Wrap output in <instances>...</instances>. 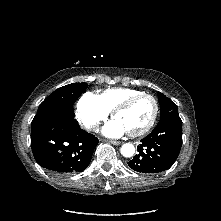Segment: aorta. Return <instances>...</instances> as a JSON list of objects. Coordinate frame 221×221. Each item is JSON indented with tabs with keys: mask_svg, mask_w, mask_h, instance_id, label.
Listing matches in <instances>:
<instances>
[{
	"mask_svg": "<svg viewBox=\"0 0 221 221\" xmlns=\"http://www.w3.org/2000/svg\"><path fill=\"white\" fill-rule=\"evenodd\" d=\"M135 153V147L133 144L131 143H125L121 146V154L124 156V157H132Z\"/></svg>",
	"mask_w": 221,
	"mask_h": 221,
	"instance_id": "aorta-1",
	"label": "aorta"
}]
</instances>
